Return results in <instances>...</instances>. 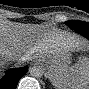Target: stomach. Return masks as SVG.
Listing matches in <instances>:
<instances>
[{"label":"stomach","instance_id":"stomach-1","mask_svg":"<svg viewBox=\"0 0 89 89\" xmlns=\"http://www.w3.org/2000/svg\"><path fill=\"white\" fill-rule=\"evenodd\" d=\"M43 60L48 64L49 72L71 64V54L69 52H61L56 54H47Z\"/></svg>","mask_w":89,"mask_h":89}]
</instances>
